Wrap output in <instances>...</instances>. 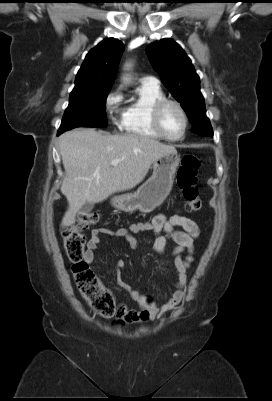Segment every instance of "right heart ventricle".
<instances>
[{"label": "right heart ventricle", "mask_w": 272, "mask_h": 401, "mask_svg": "<svg viewBox=\"0 0 272 401\" xmlns=\"http://www.w3.org/2000/svg\"><path fill=\"white\" fill-rule=\"evenodd\" d=\"M165 98L159 86L141 84L135 99L125 108L121 128L126 134L145 139H163L152 124L154 105Z\"/></svg>", "instance_id": "right-heart-ventricle-1"}]
</instances>
